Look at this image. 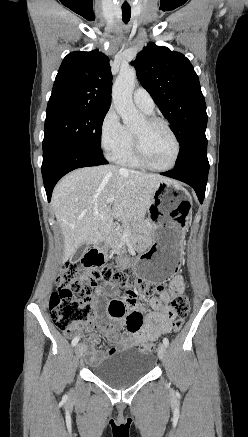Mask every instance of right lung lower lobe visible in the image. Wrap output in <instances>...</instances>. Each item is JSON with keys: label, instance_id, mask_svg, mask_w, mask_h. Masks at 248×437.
<instances>
[{"label": "right lung lower lobe", "instance_id": "right-lung-lower-lobe-1", "mask_svg": "<svg viewBox=\"0 0 248 437\" xmlns=\"http://www.w3.org/2000/svg\"><path fill=\"white\" fill-rule=\"evenodd\" d=\"M108 164L103 154L72 144L57 143L43 148L42 176L48 201L56 183L68 172L88 166Z\"/></svg>", "mask_w": 248, "mask_h": 437}]
</instances>
